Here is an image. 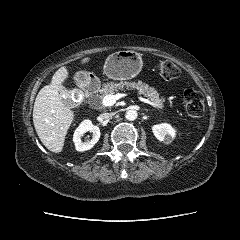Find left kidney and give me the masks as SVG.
Segmentation results:
<instances>
[{"mask_svg":"<svg viewBox=\"0 0 240 240\" xmlns=\"http://www.w3.org/2000/svg\"><path fill=\"white\" fill-rule=\"evenodd\" d=\"M152 130L155 137L160 141H164L165 143H171L175 137V130L170 124L167 123L154 125Z\"/></svg>","mask_w":240,"mask_h":240,"instance_id":"obj_1","label":"left kidney"}]
</instances>
